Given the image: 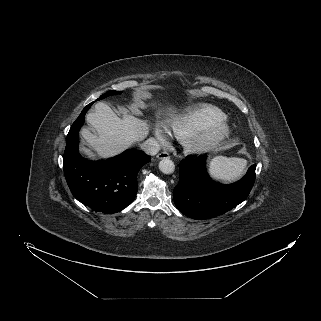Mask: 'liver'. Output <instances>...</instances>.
<instances>
[{"label": "liver", "mask_w": 321, "mask_h": 321, "mask_svg": "<svg viewBox=\"0 0 321 321\" xmlns=\"http://www.w3.org/2000/svg\"><path fill=\"white\" fill-rule=\"evenodd\" d=\"M160 113V112H159ZM87 121L97 131L93 134L83 128L81 135L88 147L81 151L90 158H109L115 156L137 141L144 139L149 133V125L127 111L119 118L105 103L98 102L94 112L87 115Z\"/></svg>", "instance_id": "6515ba94"}]
</instances>
